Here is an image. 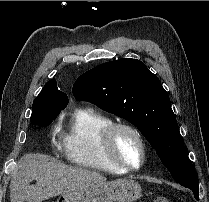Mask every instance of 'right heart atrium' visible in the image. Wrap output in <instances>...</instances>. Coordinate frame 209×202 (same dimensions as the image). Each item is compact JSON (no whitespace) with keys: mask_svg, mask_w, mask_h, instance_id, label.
I'll use <instances>...</instances> for the list:
<instances>
[{"mask_svg":"<svg viewBox=\"0 0 209 202\" xmlns=\"http://www.w3.org/2000/svg\"><path fill=\"white\" fill-rule=\"evenodd\" d=\"M50 136L51 138H57L59 141H61L62 134L60 133V127L58 123H55L51 128ZM58 140L54 142L55 147L59 144Z\"/></svg>","mask_w":209,"mask_h":202,"instance_id":"1","label":"right heart atrium"}]
</instances>
